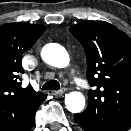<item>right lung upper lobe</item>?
<instances>
[{"label": "right lung upper lobe", "instance_id": "obj_1", "mask_svg": "<svg viewBox=\"0 0 131 131\" xmlns=\"http://www.w3.org/2000/svg\"><path fill=\"white\" fill-rule=\"evenodd\" d=\"M46 30L45 26L9 23L0 26V114H14L42 103L46 95L31 86L21 87L22 54L30 49Z\"/></svg>", "mask_w": 131, "mask_h": 131}]
</instances>
